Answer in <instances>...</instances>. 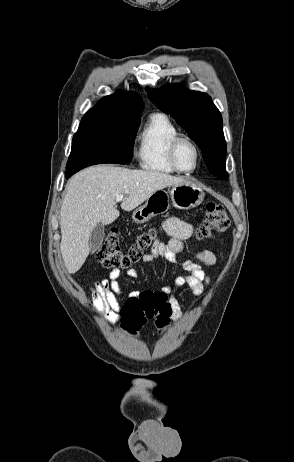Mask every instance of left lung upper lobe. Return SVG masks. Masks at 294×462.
<instances>
[{"label": "left lung upper lobe", "instance_id": "1", "mask_svg": "<svg viewBox=\"0 0 294 462\" xmlns=\"http://www.w3.org/2000/svg\"><path fill=\"white\" fill-rule=\"evenodd\" d=\"M149 99L163 112L170 114L201 148L209 171L226 179V142L222 116L211 97L186 89L181 84L168 85L147 92Z\"/></svg>", "mask_w": 294, "mask_h": 462}]
</instances>
